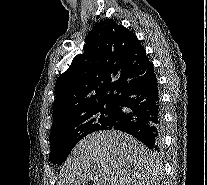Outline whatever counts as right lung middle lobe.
Segmentation results:
<instances>
[{"mask_svg":"<svg viewBox=\"0 0 207 185\" xmlns=\"http://www.w3.org/2000/svg\"><path fill=\"white\" fill-rule=\"evenodd\" d=\"M115 102L67 118L51 128L50 160L55 164L65 162L75 145L88 134L102 130L117 120Z\"/></svg>","mask_w":207,"mask_h":185,"instance_id":"dd1d6c3e","label":"right lung middle lobe"}]
</instances>
